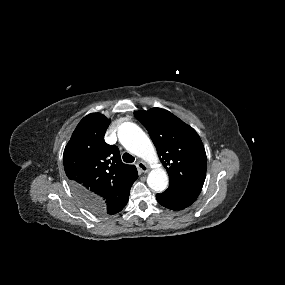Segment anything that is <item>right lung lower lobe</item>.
<instances>
[{"mask_svg": "<svg viewBox=\"0 0 285 285\" xmlns=\"http://www.w3.org/2000/svg\"><path fill=\"white\" fill-rule=\"evenodd\" d=\"M128 197H129V196H128ZM127 202H128V198H127L126 203L122 206V208H121L119 211H121V210L124 208V206L127 204ZM119 211H118V212H119ZM118 212H117V213H118Z\"/></svg>", "mask_w": 285, "mask_h": 285, "instance_id": "obj_1", "label": "right lung lower lobe"}]
</instances>
